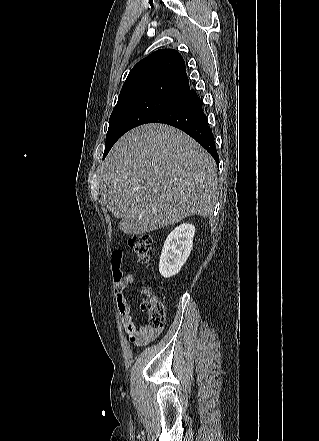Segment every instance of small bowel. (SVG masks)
<instances>
[{"label": "small bowel", "instance_id": "small-bowel-1", "mask_svg": "<svg viewBox=\"0 0 319 441\" xmlns=\"http://www.w3.org/2000/svg\"><path fill=\"white\" fill-rule=\"evenodd\" d=\"M124 252L115 250L112 253V264L121 266L124 259ZM135 286V277L132 273L123 274L122 287H116V303L121 317L123 328L129 339L139 345L147 344L156 339L162 328H153L150 325H139L133 318L131 307L128 302L126 290Z\"/></svg>", "mask_w": 319, "mask_h": 441}]
</instances>
